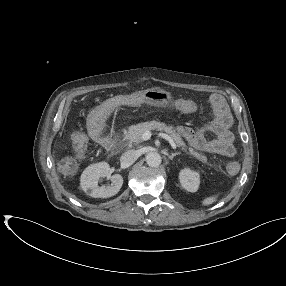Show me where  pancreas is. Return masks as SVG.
I'll return each mask as SVG.
<instances>
[{"label": "pancreas", "mask_w": 286, "mask_h": 286, "mask_svg": "<svg viewBox=\"0 0 286 286\" xmlns=\"http://www.w3.org/2000/svg\"><path fill=\"white\" fill-rule=\"evenodd\" d=\"M146 130L164 131L172 138L176 146L180 147L183 151L189 150L190 154L193 155L196 159L202 161L203 163H207L206 156L198 153L197 151H194L192 148H186L185 142L172 126H167L166 124L155 120L130 126L128 132L125 135V140L133 143H138L141 141L142 134Z\"/></svg>", "instance_id": "cf45deb5"}]
</instances>
